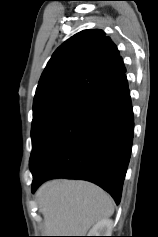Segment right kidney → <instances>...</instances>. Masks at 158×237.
I'll use <instances>...</instances> for the list:
<instances>
[{"label":"right kidney","instance_id":"right-kidney-1","mask_svg":"<svg viewBox=\"0 0 158 237\" xmlns=\"http://www.w3.org/2000/svg\"><path fill=\"white\" fill-rule=\"evenodd\" d=\"M112 226V220H101L95 226H93L87 236H111Z\"/></svg>","mask_w":158,"mask_h":237}]
</instances>
